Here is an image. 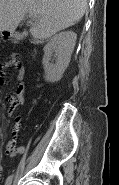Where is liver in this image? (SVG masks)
<instances>
[{"label":"liver","mask_w":119,"mask_h":185,"mask_svg":"<svg viewBox=\"0 0 119 185\" xmlns=\"http://www.w3.org/2000/svg\"><path fill=\"white\" fill-rule=\"evenodd\" d=\"M86 8L87 0H0V32L13 33L28 13L31 35L44 40L79 22Z\"/></svg>","instance_id":"6515ba94"}]
</instances>
